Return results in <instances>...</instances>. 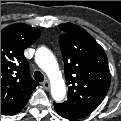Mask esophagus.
<instances>
[{"mask_svg":"<svg viewBox=\"0 0 121 121\" xmlns=\"http://www.w3.org/2000/svg\"><path fill=\"white\" fill-rule=\"evenodd\" d=\"M42 85H43V87H44L46 90L49 89V87H50V83H49L48 80H45V81L42 83Z\"/></svg>","mask_w":121,"mask_h":121,"instance_id":"34e87169","label":"esophagus"}]
</instances>
